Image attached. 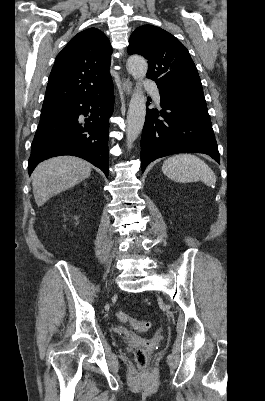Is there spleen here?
I'll list each match as a JSON object with an SVG mask.
<instances>
[{
	"instance_id": "3e777b00",
	"label": "spleen",
	"mask_w": 265,
	"mask_h": 401,
	"mask_svg": "<svg viewBox=\"0 0 265 401\" xmlns=\"http://www.w3.org/2000/svg\"><path fill=\"white\" fill-rule=\"evenodd\" d=\"M162 172L175 182H197L202 180L207 186L216 182V174L208 164L195 154H175L162 164Z\"/></svg>"
}]
</instances>
